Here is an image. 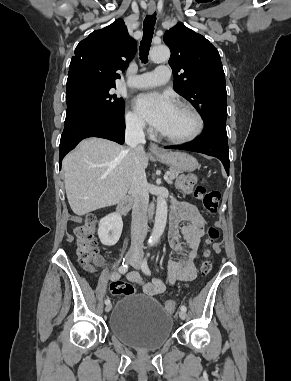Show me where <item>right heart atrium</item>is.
Masks as SVG:
<instances>
[{
  "instance_id": "d8ad5b80",
  "label": "right heart atrium",
  "mask_w": 291,
  "mask_h": 381,
  "mask_svg": "<svg viewBox=\"0 0 291 381\" xmlns=\"http://www.w3.org/2000/svg\"><path fill=\"white\" fill-rule=\"evenodd\" d=\"M125 123L128 129L134 132H143L146 125L142 117L135 111L129 110L125 115Z\"/></svg>"
}]
</instances>
